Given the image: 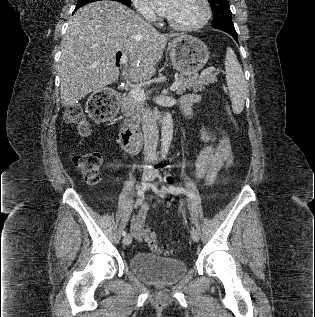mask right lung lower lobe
Segmentation results:
<instances>
[{"instance_id":"98d812e1","label":"right lung lower lobe","mask_w":315,"mask_h":317,"mask_svg":"<svg viewBox=\"0 0 315 317\" xmlns=\"http://www.w3.org/2000/svg\"><path fill=\"white\" fill-rule=\"evenodd\" d=\"M79 8H80V7L77 6V7L75 8V11H76L77 9H79Z\"/></svg>"}]
</instances>
